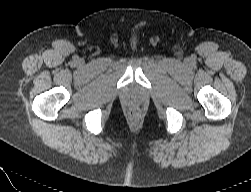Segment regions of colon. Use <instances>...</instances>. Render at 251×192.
Here are the masks:
<instances>
[{
    "label": "colon",
    "instance_id": "5ec220e1",
    "mask_svg": "<svg viewBox=\"0 0 251 192\" xmlns=\"http://www.w3.org/2000/svg\"><path fill=\"white\" fill-rule=\"evenodd\" d=\"M132 116H133V117H136V116H137V113H136V112H132Z\"/></svg>",
    "mask_w": 251,
    "mask_h": 192
}]
</instances>
